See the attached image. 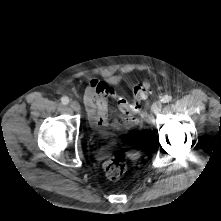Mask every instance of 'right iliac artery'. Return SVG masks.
Returning <instances> with one entry per match:
<instances>
[{"mask_svg": "<svg viewBox=\"0 0 221 221\" xmlns=\"http://www.w3.org/2000/svg\"><path fill=\"white\" fill-rule=\"evenodd\" d=\"M61 101H62V103H63V104H65V105H66V104H68V103H69V98H68V97H66V96H64V97H62V98H61Z\"/></svg>", "mask_w": 221, "mask_h": 221, "instance_id": "1", "label": "right iliac artery"}]
</instances>
